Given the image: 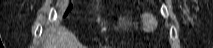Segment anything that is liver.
<instances>
[{
  "instance_id": "liver-1",
  "label": "liver",
  "mask_w": 213,
  "mask_h": 48,
  "mask_svg": "<svg viewBox=\"0 0 213 48\" xmlns=\"http://www.w3.org/2000/svg\"><path fill=\"white\" fill-rule=\"evenodd\" d=\"M44 48H83L75 35L68 29L53 28L48 35Z\"/></svg>"
}]
</instances>
